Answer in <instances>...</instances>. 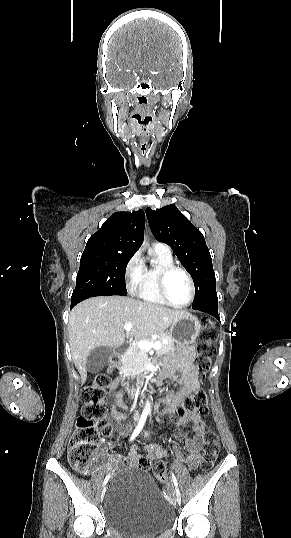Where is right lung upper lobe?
<instances>
[{"label":"right lung upper lobe","instance_id":"1","mask_svg":"<svg viewBox=\"0 0 291 538\" xmlns=\"http://www.w3.org/2000/svg\"><path fill=\"white\" fill-rule=\"evenodd\" d=\"M143 210L112 214L87 241L84 252H114L134 255L143 242ZM83 252V253H84Z\"/></svg>","mask_w":291,"mask_h":538}]
</instances>
